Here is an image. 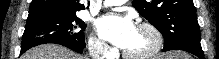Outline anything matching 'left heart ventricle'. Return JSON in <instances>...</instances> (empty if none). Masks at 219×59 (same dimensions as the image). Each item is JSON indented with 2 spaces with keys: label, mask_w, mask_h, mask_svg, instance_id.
Masks as SVG:
<instances>
[{
  "label": "left heart ventricle",
  "mask_w": 219,
  "mask_h": 59,
  "mask_svg": "<svg viewBox=\"0 0 219 59\" xmlns=\"http://www.w3.org/2000/svg\"><path fill=\"white\" fill-rule=\"evenodd\" d=\"M152 44V35L146 30L137 28L136 33L132 37L125 50L133 54H139L150 49Z\"/></svg>",
  "instance_id": "1"
}]
</instances>
